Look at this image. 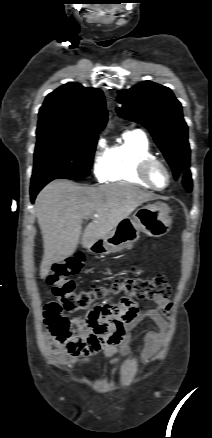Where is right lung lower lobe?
I'll use <instances>...</instances> for the list:
<instances>
[{"label":"right lung lower lobe","instance_id":"98d812e1","mask_svg":"<svg viewBox=\"0 0 212 438\" xmlns=\"http://www.w3.org/2000/svg\"><path fill=\"white\" fill-rule=\"evenodd\" d=\"M53 179H57L56 177H45L36 180H32L30 194H31V202L33 203L38 192L50 181Z\"/></svg>","mask_w":212,"mask_h":438}]
</instances>
